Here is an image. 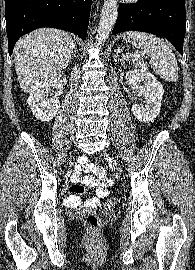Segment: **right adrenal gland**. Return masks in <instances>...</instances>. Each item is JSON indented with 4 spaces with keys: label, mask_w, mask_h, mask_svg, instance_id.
<instances>
[{
    "label": "right adrenal gland",
    "mask_w": 195,
    "mask_h": 270,
    "mask_svg": "<svg viewBox=\"0 0 195 270\" xmlns=\"http://www.w3.org/2000/svg\"><path fill=\"white\" fill-rule=\"evenodd\" d=\"M76 51H77V48L75 47V48H74V52H73L72 57H73V56H76Z\"/></svg>",
    "instance_id": "2a0ac1e0"
}]
</instances>
